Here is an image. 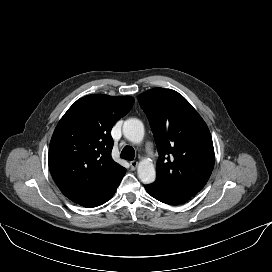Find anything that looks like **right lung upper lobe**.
<instances>
[{
  "mask_svg": "<svg viewBox=\"0 0 272 272\" xmlns=\"http://www.w3.org/2000/svg\"><path fill=\"white\" fill-rule=\"evenodd\" d=\"M130 96L87 95L77 100L55 128L49 169L61 192L80 202L123 169L111 157V129L133 106Z\"/></svg>",
  "mask_w": 272,
  "mask_h": 272,
  "instance_id": "right-lung-upper-lobe-1",
  "label": "right lung upper lobe"
}]
</instances>
